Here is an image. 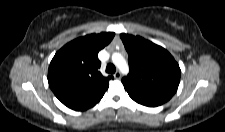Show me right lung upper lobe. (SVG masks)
<instances>
[{
  "label": "right lung upper lobe",
  "mask_w": 225,
  "mask_h": 132,
  "mask_svg": "<svg viewBox=\"0 0 225 132\" xmlns=\"http://www.w3.org/2000/svg\"><path fill=\"white\" fill-rule=\"evenodd\" d=\"M114 35L89 34L67 43L55 54L48 70V83L65 106L83 111L101 100L113 77L100 73L98 52Z\"/></svg>",
  "instance_id": "right-lung-upper-lobe-1"
}]
</instances>
